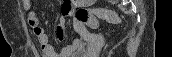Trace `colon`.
Returning a JSON list of instances; mask_svg holds the SVG:
<instances>
[{"mask_svg":"<svg viewBox=\"0 0 172 57\" xmlns=\"http://www.w3.org/2000/svg\"><path fill=\"white\" fill-rule=\"evenodd\" d=\"M73 15L80 23L85 24L92 29L98 27L99 19H104L111 23L117 22L116 13L104 8L87 9L79 7L73 12Z\"/></svg>","mask_w":172,"mask_h":57,"instance_id":"1","label":"colon"}]
</instances>
